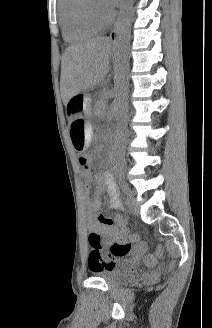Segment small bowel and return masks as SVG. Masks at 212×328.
<instances>
[{
  "label": "small bowel",
  "mask_w": 212,
  "mask_h": 328,
  "mask_svg": "<svg viewBox=\"0 0 212 328\" xmlns=\"http://www.w3.org/2000/svg\"><path fill=\"white\" fill-rule=\"evenodd\" d=\"M82 176L86 182V208L89 213V230L101 235L105 242L111 243L114 240L123 239L128 234L127 224L123 216L117 213L113 216H107L101 210L100 194L105 191L109 196L110 207L115 210L122 208V201L116 181L110 172L97 173L92 175L91 170H82ZM91 183L96 186V194L89 196ZM142 253H137L133 261H128L119 266L120 270L132 271L136 268L138 257ZM92 271L101 270L96 266L89 265Z\"/></svg>",
  "instance_id": "1"
}]
</instances>
